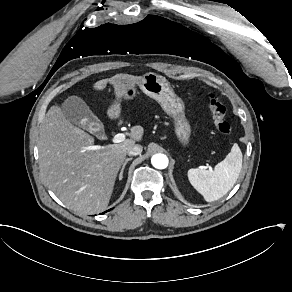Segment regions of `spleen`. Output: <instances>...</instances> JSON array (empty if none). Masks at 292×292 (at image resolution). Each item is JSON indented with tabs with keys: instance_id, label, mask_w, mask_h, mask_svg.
Listing matches in <instances>:
<instances>
[{
	"instance_id": "1",
	"label": "spleen",
	"mask_w": 292,
	"mask_h": 292,
	"mask_svg": "<svg viewBox=\"0 0 292 292\" xmlns=\"http://www.w3.org/2000/svg\"><path fill=\"white\" fill-rule=\"evenodd\" d=\"M242 159L241 149L234 144L230 153L214 170L189 169L188 179L207 202L218 200L231 190L237 181L242 169Z\"/></svg>"
}]
</instances>
